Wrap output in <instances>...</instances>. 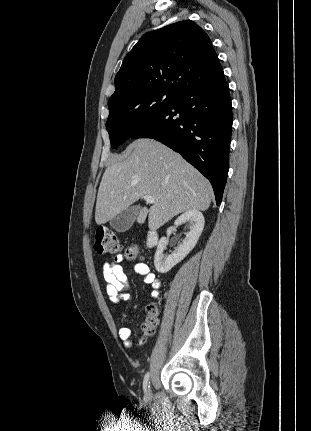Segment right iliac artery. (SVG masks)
<instances>
[{"instance_id":"obj_1","label":"right iliac artery","mask_w":311,"mask_h":431,"mask_svg":"<svg viewBox=\"0 0 311 431\" xmlns=\"http://www.w3.org/2000/svg\"><path fill=\"white\" fill-rule=\"evenodd\" d=\"M148 387H149V373H146L144 380H143L144 391H146Z\"/></svg>"}]
</instances>
